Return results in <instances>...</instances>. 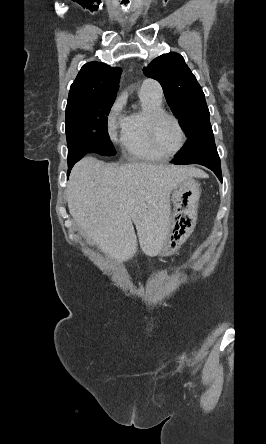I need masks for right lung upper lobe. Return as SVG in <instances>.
Segmentation results:
<instances>
[{
    "label": "right lung upper lobe",
    "instance_id": "right-lung-upper-lobe-1",
    "mask_svg": "<svg viewBox=\"0 0 266 444\" xmlns=\"http://www.w3.org/2000/svg\"><path fill=\"white\" fill-rule=\"evenodd\" d=\"M121 69L101 62L86 63L69 91L67 104L105 96H116Z\"/></svg>",
    "mask_w": 266,
    "mask_h": 444
}]
</instances>
